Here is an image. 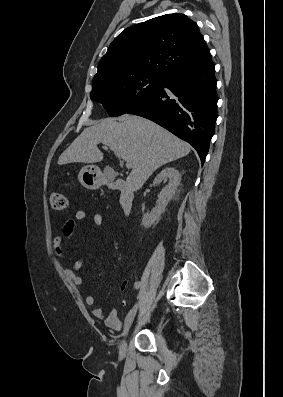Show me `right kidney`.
Instances as JSON below:
<instances>
[{"label":"right kidney","mask_w":283,"mask_h":397,"mask_svg":"<svg viewBox=\"0 0 283 397\" xmlns=\"http://www.w3.org/2000/svg\"><path fill=\"white\" fill-rule=\"evenodd\" d=\"M168 185L162 189L160 194L158 195V200L156 206L152 209L149 214L143 216L142 225L145 228L151 227L157 220H159L161 214L165 210L167 204L174 196L178 185L181 180V174L174 167H166L164 168L154 179L153 184L157 185L161 181H167Z\"/></svg>","instance_id":"obj_1"}]
</instances>
